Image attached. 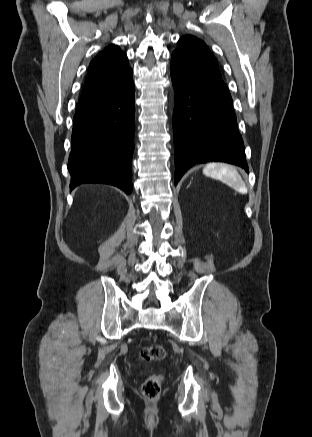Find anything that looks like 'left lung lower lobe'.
Here are the masks:
<instances>
[{"instance_id":"1","label":"left lung lower lobe","mask_w":312,"mask_h":437,"mask_svg":"<svg viewBox=\"0 0 312 437\" xmlns=\"http://www.w3.org/2000/svg\"><path fill=\"white\" fill-rule=\"evenodd\" d=\"M175 88V185L193 165L221 161L248 172L231 95L224 81L178 53L171 57Z\"/></svg>"}]
</instances>
